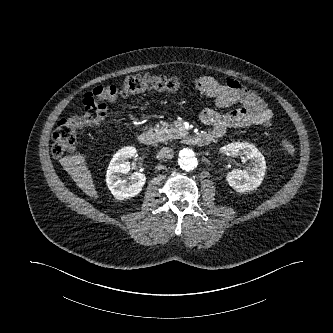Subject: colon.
<instances>
[{
  "label": "colon",
  "instance_id": "5ec220e1",
  "mask_svg": "<svg viewBox=\"0 0 333 333\" xmlns=\"http://www.w3.org/2000/svg\"><path fill=\"white\" fill-rule=\"evenodd\" d=\"M182 87L180 81L163 75H135L129 76L121 88L115 86H97L86 93L83 99V111L73 113L58 121L52 134V153L61 158L73 152L76 133L84 127L96 126L105 117L107 104L120 97L139 94L147 90L176 91ZM282 149L287 156L294 157L297 148L290 140L281 142Z\"/></svg>",
  "mask_w": 333,
  "mask_h": 333
}]
</instances>
